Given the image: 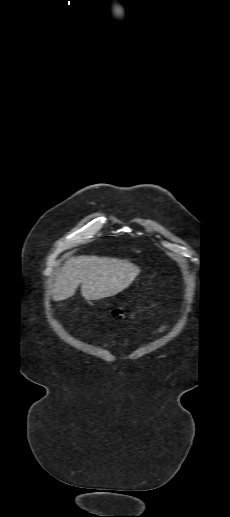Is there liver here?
Wrapping results in <instances>:
<instances>
[{"instance_id": "6515ba94", "label": "liver", "mask_w": 230, "mask_h": 517, "mask_svg": "<svg viewBox=\"0 0 230 517\" xmlns=\"http://www.w3.org/2000/svg\"><path fill=\"white\" fill-rule=\"evenodd\" d=\"M139 272V267L126 259L71 257L56 274L53 299L62 301L72 297L80 284L85 300L111 297L127 288Z\"/></svg>"}]
</instances>
